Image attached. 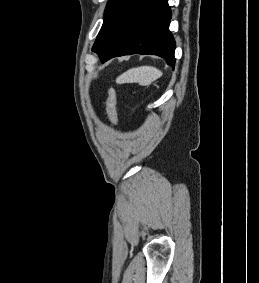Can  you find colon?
I'll list each match as a JSON object with an SVG mask.
<instances>
[{
	"label": "colon",
	"mask_w": 259,
	"mask_h": 283,
	"mask_svg": "<svg viewBox=\"0 0 259 283\" xmlns=\"http://www.w3.org/2000/svg\"><path fill=\"white\" fill-rule=\"evenodd\" d=\"M117 94L114 88L110 87L107 90L106 95V113L107 119L111 125L115 124L117 121Z\"/></svg>",
	"instance_id": "1"
}]
</instances>
